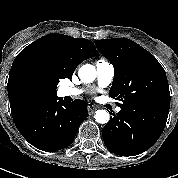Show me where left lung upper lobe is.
Listing matches in <instances>:
<instances>
[{
	"mask_svg": "<svg viewBox=\"0 0 178 178\" xmlns=\"http://www.w3.org/2000/svg\"><path fill=\"white\" fill-rule=\"evenodd\" d=\"M100 53L114 66L110 96L120 107L160 123H166L170 91L166 73L158 60L129 39L95 40Z\"/></svg>",
	"mask_w": 178,
	"mask_h": 178,
	"instance_id": "obj_1",
	"label": "left lung upper lobe"
}]
</instances>
